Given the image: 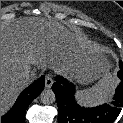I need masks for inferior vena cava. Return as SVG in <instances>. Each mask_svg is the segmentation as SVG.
<instances>
[{
  "mask_svg": "<svg viewBox=\"0 0 123 123\" xmlns=\"http://www.w3.org/2000/svg\"><path fill=\"white\" fill-rule=\"evenodd\" d=\"M22 77L27 81H31L34 78V75L30 74V71H25Z\"/></svg>",
  "mask_w": 123,
  "mask_h": 123,
  "instance_id": "602c4592",
  "label": "inferior vena cava"
}]
</instances>
